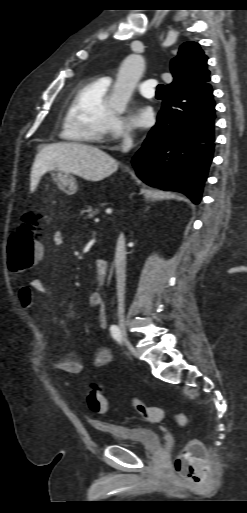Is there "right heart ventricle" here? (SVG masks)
<instances>
[{
  "instance_id": "1",
  "label": "right heart ventricle",
  "mask_w": 247,
  "mask_h": 513,
  "mask_svg": "<svg viewBox=\"0 0 247 513\" xmlns=\"http://www.w3.org/2000/svg\"><path fill=\"white\" fill-rule=\"evenodd\" d=\"M109 86L104 79H91L77 88L63 117L64 140L82 144L103 140L112 116L106 103Z\"/></svg>"
}]
</instances>
